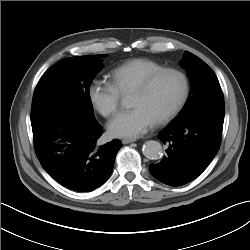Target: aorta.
<instances>
[{
    "label": "aorta",
    "mask_w": 250,
    "mask_h": 250,
    "mask_svg": "<svg viewBox=\"0 0 250 250\" xmlns=\"http://www.w3.org/2000/svg\"><path fill=\"white\" fill-rule=\"evenodd\" d=\"M123 104L124 105L126 104L125 100L123 101ZM142 152L145 157L151 160H157L161 158L163 155V149H162L161 144L154 140L146 141L143 144Z\"/></svg>",
    "instance_id": "762f6f07"
}]
</instances>
